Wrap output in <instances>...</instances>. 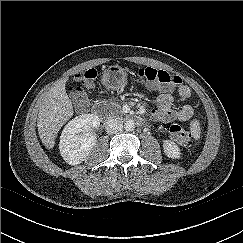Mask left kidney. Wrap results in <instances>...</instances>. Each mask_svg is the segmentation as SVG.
Listing matches in <instances>:
<instances>
[{"mask_svg": "<svg viewBox=\"0 0 243 243\" xmlns=\"http://www.w3.org/2000/svg\"><path fill=\"white\" fill-rule=\"evenodd\" d=\"M163 149L164 153L167 157L171 159H179L181 152L180 148L172 141L170 140H164L163 141Z\"/></svg>", "mask_w": 243, "mask_h": 243, "instance_id": "5707ae66", "label": "left kidney"}]
</instances>
